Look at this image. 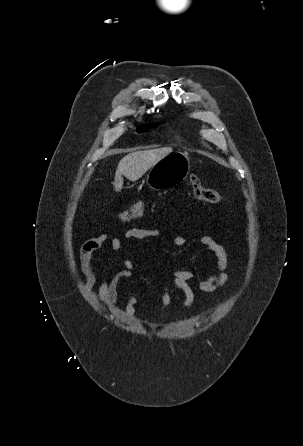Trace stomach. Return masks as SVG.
<instances>
[{"label": "stomach", "mask_w": 303, "mask_h": 446, "mask_svg": "<svg viewBox=\"0 0 303 446\" xmlns=\"http://www.w3.org/2000/svg\"><path fill=\"white\" fill-rule=\"evenodd\" d=\"M190 160L182 152L169 153L152 166L147 175V184L153 190L169 189L186 179Z\"/></svg>", "instance_id": "0dacf381"}]
</instances>
